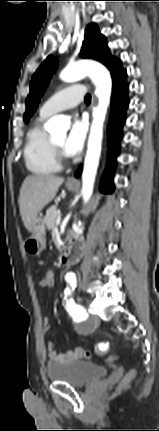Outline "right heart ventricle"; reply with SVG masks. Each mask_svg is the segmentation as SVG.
Instances as JSON below:
<instances>
[{
	"mask_svg": "<svg viewBox=\"0 0 159 431\" xmlns=\"http://www.w3.org/2000/svg\"><path fill=\"white\" fill-rule=\"evenodd\" d=\"M46 118L47 116L39 115L27 133L23 150L27 169L37 175H51L60 170L51 139L42 128V122Z\"/></svg>",
	"mask_w": 159,
	"mask_h": 431,
	"instance_id": "1",
	"label": "right heart ventricle"
}]
</instances>
